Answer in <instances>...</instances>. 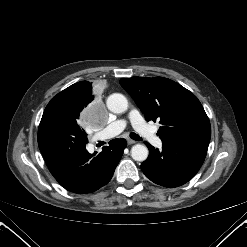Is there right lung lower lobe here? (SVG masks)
I'll use <instances>...</instances> for the list:
<instances>
[{
    "instance_id": "98d812e1",
    "label": "right lung lower lobe",
    "mask_w": 247,
    "mask_h": 247,
    "mask_svg": "<svg viewBox=\"0 0 247 247\" xmlns=\"http://www.w3.org/2000/svg\"><path fill=\"white\" fill-rule=\"evenodd\" d=\"M87 134L76 122L43 115L38 129V145L55 179L73 193H91L106 185L126 147L125 139H114L96 155L85 146Z\"/></svg>"
}]
</instances>
